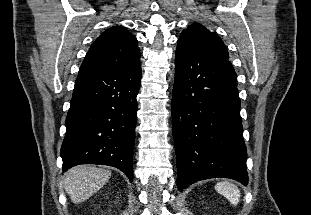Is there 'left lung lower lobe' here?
Returning a JSON list of instances; mask_svg holds the SVG:
<instances>
[{
  "mask_svg": "<svg viewBox=\"0 0 311 215\" xmlns=\"http://www.w3.org/2000/svg\"><path fill=\"white\" fill-rule=\"evenodd\" d=\"M180 191L207 178L248 184L237 76L228 58L180 37L172 93Z\"/></svg>",
  "mask_w": 311,
  "mask_h": 215,
  "instance_id": "0a47b994",
  "label": "left lung lower lobe"
}]
</instances>
